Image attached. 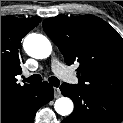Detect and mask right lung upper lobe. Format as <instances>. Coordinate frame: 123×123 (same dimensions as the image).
<instances>
[{"label": "right lung upper lobe", "instance_id": "obj_1", "mask_svg": "<svg viewBox=\"0 0 123 123\" xmlns=\"http://www.w3.org/2000/svg\"><path fill=\"white\" fill-rule=\"evenodd\" d=\"M41 19H24L11 16L1 17V103L21 97L35 86L16 83V75L21 69V41L22 38Z\"/></svg>", "mask_w": 123, "mask_h": 123}]
</instances>
